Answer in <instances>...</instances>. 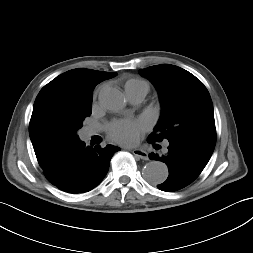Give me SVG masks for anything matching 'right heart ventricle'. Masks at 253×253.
Masks as SVG:
<instances>
[{
    "instance_id": "right-heart-ventricle-1",
    "label": "right heart ventricle",
    "mask_w": 253,
    "mask_h": 253,
    "mask_svg": "<svg viewBox=\"0 0 253 253\" xmlns=\"http://www.w3.org/2000/svg\"><path fill=\"white\" fill-rule=\"evenodd\" d=\"M124 87H125V91L135 89V88H146L147 90H149V84L146 81L142 79H138V78L128 79L125 82Z\"/></svg>"
}]
</instances>
